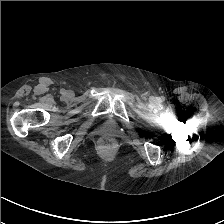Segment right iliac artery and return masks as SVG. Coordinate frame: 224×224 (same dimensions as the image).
Returning a JSON list of instances; mask_svg holds the SVG:
<instances>
[{"mask_svg": "<svg viewBox=\"0 0 224 224\" xmlns=\"http://www.w3.org/2000/svg\"><path fill=\"white\" fill-rule=\"evenodd\" d=\"M60 93L64 95L66 92H65L64 89H61V90H60Z\"/></svg>", "mask_w": 224, "mask_h": 224, "instance_id": "obj_1", "label": "right iliac artery"}]
</instances>
